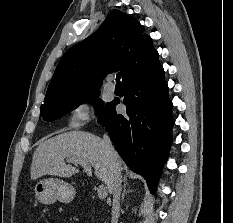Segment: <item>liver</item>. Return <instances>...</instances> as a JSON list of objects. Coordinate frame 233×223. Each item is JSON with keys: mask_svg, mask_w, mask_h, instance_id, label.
Returning a JSON list of instances; mask_svg holds the SVG:
<instances>
[{"mask_svg": "<svg viewBox=\"0 0 233 223\" xmlns=\"http://www.w3.org/2000/svg\"><path fill=\"white\" fill-rule=\"evenodd\" d=\"M65 159L69 163H74L76 159L90 163L94 167L96 177L105 183L109 193L113 163H117L120 169H123L119 155L117 159H110L101 137L88 131H67L39 143L32 157L31 179H37L41 175L71 177L74 173H79V169L74 165H67Z\"/></svg>", "mask_w": 233, "mask_h": 223, "instance_id": "liver-1", "label": "liver"}]
</instances>
